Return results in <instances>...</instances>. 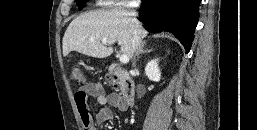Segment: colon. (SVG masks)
<instances>
[{
	"instance_id": "1",
	"label": "colon",
	"mask_w": 257,
	"mask_h": 130,
	"mask_svg": "<svg viewBox=\"0 0 257 130\" xmlns=\"http://www.w3.org/2000/svg\"><path fill=\"white\" fill-rule=\"evenodd\" d=\"M70 76L77 83L85 82V74L79 65H74L71 68ZM108 82L115 88L119 87V78L116 75H109Z\"/></svg>"
}]
</instances>
